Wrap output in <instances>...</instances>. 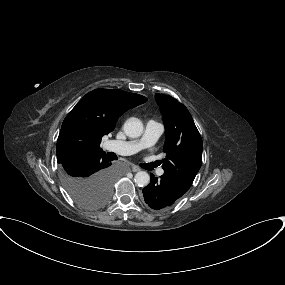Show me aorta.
Instances as JSON below:
<instances>
[{"instance_id":"aorta-1","label":"aorta","mask_w":285,"mask_h":285,"mask_svg":"<svg viewBox=\"0 0 285 285\" xmlns=\"http://www.w3.org/2000/svg\"><path fill=\"white\" fill-rule=\"evenodd\" d=\"M124 133L130 138L140 137L143 133V124L138 118H129L123 125ZM135 183L144 187L149 184L150 176L145 171H139L135 174L134 177Z\"/></svg>"}]
</instances>
